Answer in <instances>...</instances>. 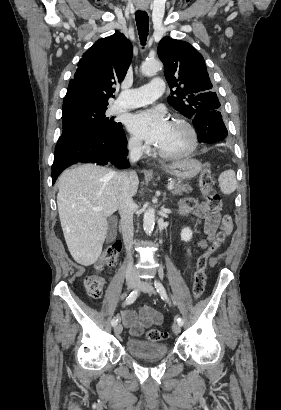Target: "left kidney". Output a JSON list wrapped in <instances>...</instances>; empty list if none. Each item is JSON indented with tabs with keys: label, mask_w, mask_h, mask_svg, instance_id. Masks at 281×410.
<instances>
[{
	"label": "left kidney",
	"mask_w": 281,
	"mask_h": 410,
	"mask_svg": "<svg viewBox=\"0 0 281 410\" xmlns=\"http://www.w3.org/2000/svg\"><path fill=\"white\" fill-rule=\"evenodd\" d=\"M192 231L189 227L183 228L181 231V239L183 241H190V239L192 238Z\"/></svg>",
	"instance_id": "5707ae66"
}]
</instances>
